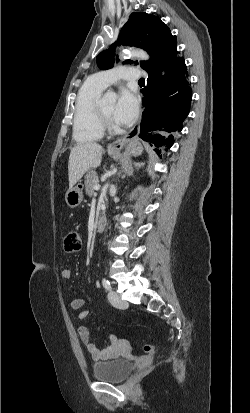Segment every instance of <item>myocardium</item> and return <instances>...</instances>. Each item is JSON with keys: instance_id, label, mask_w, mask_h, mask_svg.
Returning a JSON list of instances; mask_svg holds the SVG:
<instances>
[{"instance_id": "f54148a6", "label": "myocardium", "mask_w": 250, "mask_h": 413, "mask_svg": "<svg viewBox=\"0 0 250 413\" xmlns=\"http://www.w3.org/2000/svg\"><path fill=\"white\" fill-rule=\"evenodd\" d=\"M97 109H98V113L101 118L104 129L106 128L110 130H115L116 124L114 122V119L108 114H106L100 105H97Z\"/></svg>"}]
</instances>
